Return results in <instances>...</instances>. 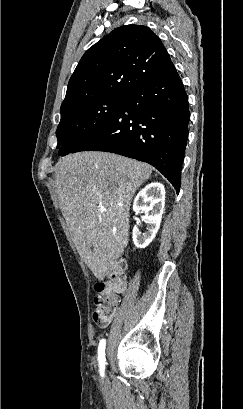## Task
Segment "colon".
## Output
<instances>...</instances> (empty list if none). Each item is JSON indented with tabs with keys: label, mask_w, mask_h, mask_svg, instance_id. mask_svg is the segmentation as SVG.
<instances>
[{
	"label": "colon",
	"mask_w": 243,
	"mask_h": 409,
	"mask_svg": "<svg viewBox=\"0 0 243 409\" xmlns=\"http://www.w3.org/2000/svg\"><path fill=\"white\" fill-rule=\"evenodd\" d=\"M125 269V261L118 259L111 267L109 280L95 284L97 296L95 297L93 318L100 326L109 324L115 316L118 305L117 296L125 289Z\"/></svg>",
	"instance_id": "obj_1"
}]
</instances>
